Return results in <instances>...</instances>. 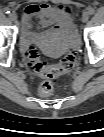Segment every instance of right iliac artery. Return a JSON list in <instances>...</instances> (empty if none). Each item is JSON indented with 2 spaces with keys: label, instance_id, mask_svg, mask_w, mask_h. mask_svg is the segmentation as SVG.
I'll return each mask as SVG.
<instances>
[{
  "label": "right iliac artery",
  "instance_id": "obj_1",
  "mask_svg": "<svg viewBox=\"0 0 104 137\" xmlns=\"http://www.w3.org/2000/svg\"><path fill=\"white\" fill-rule=\"evenodd\" d=\"M4 13L5 14H9L10 13V9L8 7L4 8Z\"/></svg>",
  "mask_w": 104,
  "mask_h": 137
}]
</instances>
